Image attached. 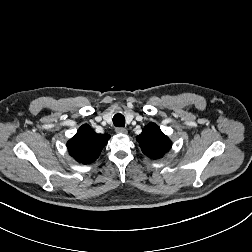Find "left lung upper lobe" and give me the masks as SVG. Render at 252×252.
<instances>
[{
  "label": "left lung upper lobe",
  "mask_w": 252,
  "mask_h": 252,
  "mask_svg": "<svg viewBox=\"0 0 252 252\" xmlns=\"http://www.w3.org/2000/svg\"><path fill=\"white\" fill-rule=\"evenodd\" d=\"M142 152L151 159H158L170 150V139L155 123L146 125L142 133L137 136Z\"/></svg>",
  "instance_id": "5c2ea615"
}]
</instances>
